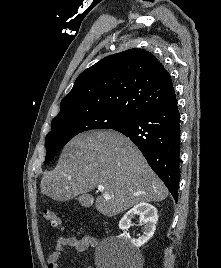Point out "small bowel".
<instances>
[{"instance_id":"obj_1","label":"small bowel","mask_w":221,"mask_h":268,"mask_svg":"<svg viewBox=\"0 0 221 268\" xmlns=\"http://www.w3.org/2000/svg\"><path fill=\"white\" fill-rule=\"evenodd\" d=\"M97 244L98 240L93 236H84L82 238H77L74 236L61 237L57 240L54 250L48 255L47 268H60L59 259L64 249L67 247H71L79 252H83L88 248H95Z\"/></svg>"}]
</instances>
